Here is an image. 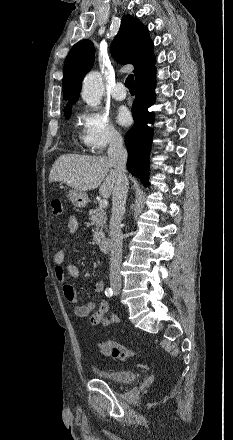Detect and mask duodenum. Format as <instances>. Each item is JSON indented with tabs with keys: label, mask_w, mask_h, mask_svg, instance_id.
<instances>
[{
	"label": "duodenum",
	"mask_w": 233,
	"mask_h": 440,
	"mask_svg": "<svg viewBox=\"0 0 233 440\" xmlns=\"http://www.w3.org/2000/svg\"><path fill=\"white\" fill-rule=\"evenodd\" d=\"M99 246H100L101 250L108 251L110 249L111 242L108 238H100L99 239Z\"/></svg>",
	"instance_id": "1"
}]
</instances>
